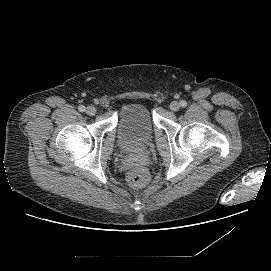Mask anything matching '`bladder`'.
Segmentation results:
<instances>
[{
    "mask_svg": "<svg viewBox=\"0 0 271 271\" xmlns=\"http://www.w3.org/2000/svg\"><path fill=\"white\" fill-rule=\"evenodd\" d=\"M153 119L149 108L142 103H129L122 107L118 117L120 144L129 150L143 148L153 136Z\"/></svg>",
    "mask_w": 271,
    "mask_h": 271,
    "instance_id": "1",
    "label": "bladder"
}]
</instances>
